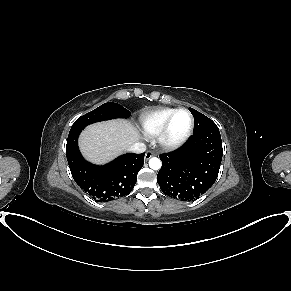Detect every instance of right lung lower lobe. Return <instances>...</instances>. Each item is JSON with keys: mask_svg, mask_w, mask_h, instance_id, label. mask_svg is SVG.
<instances>
[{"mask_svg": "<svg viewBox=\"0 0 291 291\" xmlns=\"http://www.w3.org/2000/svg\"><path fill=\"white\" fill-rule=\"evenodd\" d=\"M82 130H70L66 144L67 161L76 183L99 202L129 194L143 167L145 154L127 153L107 165H93L82 157L78 148V136Z\"/></svg>", "mask_w": 291, "mask_h": 291, "instance_id": "1", "label": "right lung lower lobe"}]
</instances>
